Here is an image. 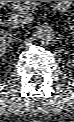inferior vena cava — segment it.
<instances>
[{
  "label": "inferior vena cava",
  "mask_w": 74,
  "mask_h": 122,
  "mask_svg": "<svg viewBox=\"0 0 74 122\" xmlns=\"http://www.w3.org/2000/svg\"><path fill=\"white\" fill-rule=\"evenodd\" d=\"M12 20L16 24L29 25L33 21V16L27 10L20 9L16 14L13 15Z\"/></svg>",
  "instance_id": "1"
}]
</instances>
